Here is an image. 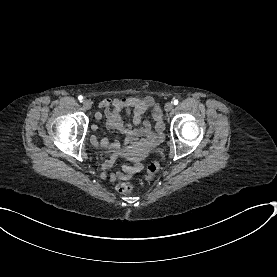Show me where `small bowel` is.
<instances>
[{
  "label": "small bowel",
  "instance_id": "c3829d8e",
  "mask_svg": "<svg viewBox=\"0 0 277 277\" xmlns=\"http://www.w3.org/2000/svg\"><path fill=\"white\" fill-rule=\"evenodd\" d=\"M100 106L106 110V127L108 129L118 130L134 143L138 140H143L153 144L160 139L161 132L164 129V121L161 108L152 96L121 99L109 97L108 99H103L100 102ZM147 110H151L155 131L152 129L150 122L143 120V114ZM124 113H132L131 122H124ZM96 118L100 119L101 114L97 113ZM132 125L136 126V128H132ZM93 141L95 145L112 151V154L104 164L105 169H110L121 153L120 143L117 141L109 142L107 140L99 141L95 138H93ZM138 170V166L124 165L123 173H112L110 179L113 182L122 181Z\"/></svg>",
  "mask_w": 277,
  "mask_h": 277
}]
</instances>
